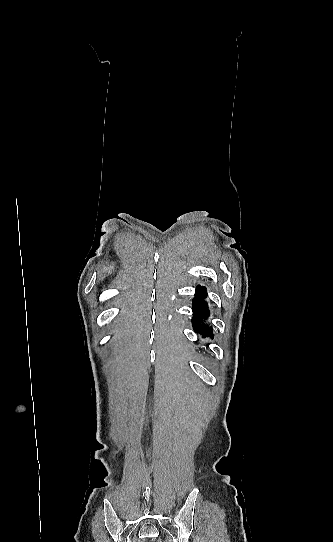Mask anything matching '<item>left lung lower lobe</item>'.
<instances>
[{
	"mask_svg": "<svg viewBox=\"0 0 333 542\" xmlns=\"http://www.w3.org/2000/svg\"><path fill=\"white\" fill-rule=\"evenodd\" d=\"M206 296V288L198 285L195 291V298L192 301V311L194 313L192 325L196 332L203 334V337L210 335L211 339H213L214 335L212 334V327H209L202 322V318L208 317V305L204 302Z\"/></svg>",
	"mask_w": 333,
	"mask_h": 542,
	"instance_id": "left-lung-lower-lobe-1",
	"label": "left lung lower lobe"
}]
</instances>
